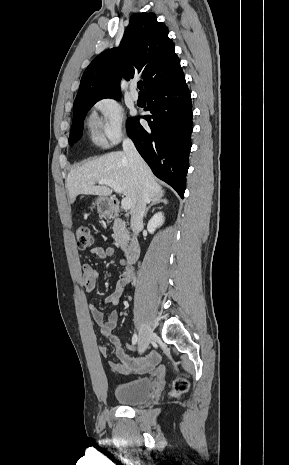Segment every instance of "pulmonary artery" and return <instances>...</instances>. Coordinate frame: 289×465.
Listing matches in <instances>:
<instances>
[{"label": "pulmonary artery", "mask_w": 289, "mask_h": 465, "mask_svg": "<svg viewBox=\"0 0 289 465\" xmlns=\"http://www.w3.org/2000/svg\"><path fill=\"white\" fill-rule=\"evenodd\" d=\"M130 96L134 101H137L139 98L138 91L136 90V84H132L130 87Z\"/></svg>", "instance_id": "obj_1"}]
</instances>
